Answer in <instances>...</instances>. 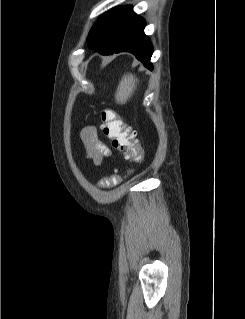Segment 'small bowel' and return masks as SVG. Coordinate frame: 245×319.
I'll return each mask as SVG.
<instances>
[{"instance_id": "small-bowel-1", "label": "small bowel", "mask_w": 245, "mask_h": 319, "mask_svg": "<svg viewBox=\"0 0 245 319\" xmlns=\"http://www.w3.org/2000/svg\"><path fill=\"white\" fill-rule=\"evenodd\" d=\"M81 136L85 143L87 154L94 163L99 164L104 158L110 156L109 148L99 138L98 131L95 127H86Z\"/></svg>"}]
</instances>
